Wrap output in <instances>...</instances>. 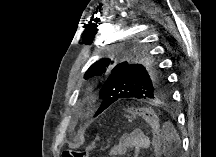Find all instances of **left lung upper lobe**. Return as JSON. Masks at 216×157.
<instances>
[{"label": "left lung upper lobe", "mask_w": 216, "mask_h": 157, "mask_svg": "<svg viewBox=\"0 0 216 157\" xmlns=\"http://www.w3.org/2000/svg\"><path fill=\"white\" fill-rule=\"evenodd\" d=\"M115 44H130V39H115ZM132 48L106 49L113 54L96 61L89 67L84 79L104 76L100 90L102 103L110 104L124 99L155 100L165 98L169 82L161 69L144 56L141 43H132Z\"/></svg>", "instance_id": "obj_1"}]
</instances>
